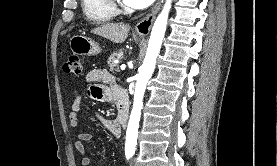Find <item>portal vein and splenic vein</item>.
<instances>
[{"instance_id":"18ae733b","label":"portal vein and splenic vein","mask_w":277,"mask_h":166,"mask_svg":"<svg viewBox=\"0 0 277 166\" xmlns=\"http://www.w3.org/2000/svg\"><path fill=\"white\" fill-rule=\"evenodd\" d=\"M121 70H124L126 68V66L124 64L121 65Z\"/></svg>"}]
</instances>
